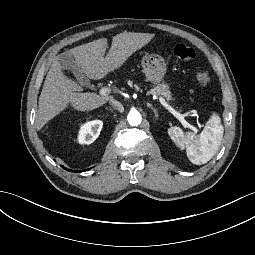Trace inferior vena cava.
<instances>
[{
	"label": "inferior vena cava",
	"mask_w": 255,
	"mask_h": 255,
	"mask_svg": "<svg viewBox=\"0 0 255 255\" xmlns=\"http://www.w3.org/2000/svg\"><path fill=\"white\" fill-rule=\"evenodd\" d=\"M109 103H110V105H111L113 108H115V109L118 110L119 112H123V111H124V107L122 106V104H121L119 101H117V100H115V99H111V100L109 101Z\"/></svg>",
	"instance_id": "602c4592"
}]
</instances>
